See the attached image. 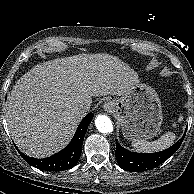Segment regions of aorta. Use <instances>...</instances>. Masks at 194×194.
<instances>
[{"mask_svg":"<svg viewBox=\"0 0 194 194\" xmlns=\"http://www.w3.org/2000/svg\"><path fill=\"white\" fill-rule=\"evenodd\" d=\"M95 125L101 133H111L113 131L112 122L106 115H98L95 119Z\"/></svg>","mask_w":194,"mask_h":194,"instance_id":"762f6f07","label":"aorta"}]
</instances>
